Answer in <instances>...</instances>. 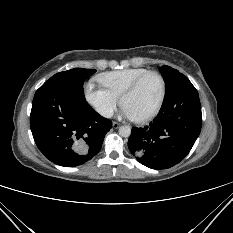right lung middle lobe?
Returning a JSON list of instances; mask_svg holds the SVG:
<instances>
[{"label": "right lung middle lobe", "mask_w": 233, "mask_h": 233, "mask_svg": "<svg viewBox=\"0 0 233 233\" xmlns=\"http://www.w3.org/2000/svg\"><path fill=\"white\" fill-rule=\"evenodd\" d=\"M96 70L74 68L52 76L48 82H59L83 89L84 81L93 75Z\"/></svg>", "instance_id": "obj_1"}]
</instances>
